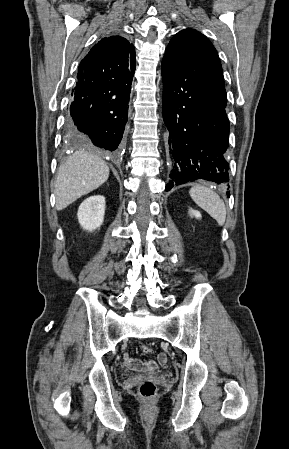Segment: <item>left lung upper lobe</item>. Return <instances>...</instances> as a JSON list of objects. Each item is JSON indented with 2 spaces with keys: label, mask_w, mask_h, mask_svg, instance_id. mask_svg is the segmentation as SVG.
I'll list each match as a JSON object with an SVG mask.
<instances>
[{
  "label": "left lung upper lobe",
  "mask_w": 289,
  "mask_h": 449,
  "mask_svg": "<svg viewBox=\"0 0 289 449\" xmlns=\"http://www.w3.org/2000/svg\"><path fill=\"white\" fill-rule=\"evenodd\" d=\"M166 53L192 60L208 69L224 84L222 66L213 44L200 32L184 29L178 32L166 48Z\"/></svg>",
  "instance_id": "5c2ea615"
}]
</instances>
